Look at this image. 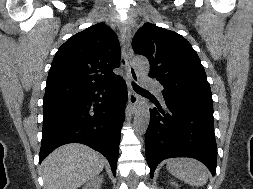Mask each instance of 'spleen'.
Instances as JSON below:
<instances>
[{
    "label": "spleen",
    "mask_w": 253,
    "mask_h": 189,
    "mask_svg": "<svg viewBox=\"0 0 253 189\" xmlns=\"http://www.w3.org/2000/svg\"><path fill=\"white\" fill-rule=\"evenodd\" d=\"M167 170L191 186L206 184L209 176L207 168L201 162L191 158L169 159L167 160Z\"/></svg>",
    "instance_id": "spleen-1"
}]
</instances>
